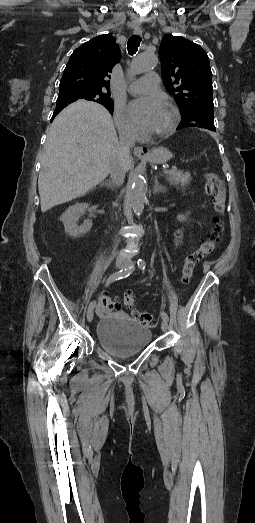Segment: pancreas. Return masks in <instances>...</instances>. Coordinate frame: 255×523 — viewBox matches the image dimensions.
Wrapping results in <instances>:
<instances>
[{
    "label": "pancreas",
    "mask_w": 255,
    "mask_h": 523,
    "mask_svg": "<svg viewBox=\"0 0 255 523\" xmlns=\"http://www.w3.org/2000/svg\"><path fill=\"white\" fill-rule=\"evenodd\" d=\"M168 180L171 182V184H181V186H185V184H189L190 182V174L186 172V174H182V172L179 173H167Z\"/></svg>",
    "instance_id": "obj_1"
}]
</instances>
